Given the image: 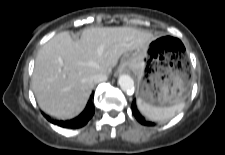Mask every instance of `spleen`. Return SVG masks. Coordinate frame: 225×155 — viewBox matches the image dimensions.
Wrapping results in <instances>:
<instances>
[{"label":"spleen","instance_id":"3e777b00","mask_svg":"<svg viewBox=\"0 0 225 155\" xmlns=\"http://www.w3.org/2000/svg\"><path fill=\"white\" fill-rule=\"evenodd\" d=\"M137 106L140 112L150 120L154 121H164L171 119L180 112L184 106V101H180L177 104H174L169 107H156L148 103H145L140 98L137 99Z\"/></svg>","mask_w":225,"mask_h":155}]
</instances>
